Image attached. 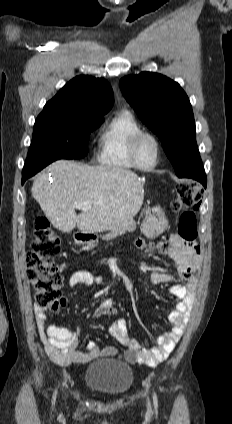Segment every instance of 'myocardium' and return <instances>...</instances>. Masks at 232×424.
<instances>
[{
    "mask_svg": "<svg viewBox=\"0 0 232 424\" xmlns=\"http://www.w3.org/2000/svg\"><path fill=\"white\" fill-rule=\"evenodd\" d=\"M144 137L151 138L154 141L155 146H156L155 160L149 166H143V165H141L139 163L138 159H137V156H136V147H137L139 141L142 138H144ZM160 154H161V144H160V141H159L158 137L155 134H153L152 132L141 130V131H139L138 133H136L132 137V139L130 141V145H129V156H130V159H131L132 163L134 164V166L136 168H138L140 170H151V169L155 168L158 165V163H159Z\"/></svg>",
    "mask_w": 232,
    "mask_h": 424,
    "instance_id": "1",
    "label": "myocardium"
}]
</instances>
